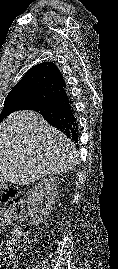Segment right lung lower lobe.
Here are the masks:
<instances>
[{
  "mask_svg": "<svg viewBox=\"0 0 118 269\" xmlns=\"http://www.w3.org/2000/svg\"><path fill=\"white\" fill-rule=\"evenodd\" d=\"M25 109L38 112L50 125L59 129L72 141L78 142L77 117L66 88Z\"/></svg>",
  "mask_w": 118,
  "mask_h": 269,
  "instance_id": "right-lung-lower-lobe-1",
  "label": "right lung lower lobe"
}]
</instances>
